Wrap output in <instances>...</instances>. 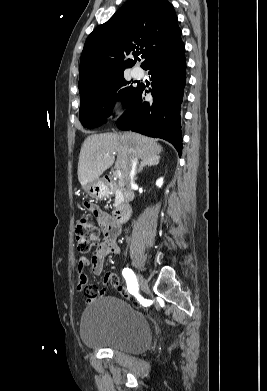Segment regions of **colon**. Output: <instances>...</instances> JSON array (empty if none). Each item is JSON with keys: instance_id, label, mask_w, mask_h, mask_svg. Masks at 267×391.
<instances>
[{"instance_id": "colon-1", "label": "colon", "mask_w": 267, "mask_h": 391, "mask_svg": "<svg viewBox=\"0 0 267 391\" xmlns=\"http://www.w3.org/2000/svg\"><path fill=\"white\" fill-rule=\"evenodd\" d=\"M75 236L77 250L81 255H92L102 244L100 229L87 216L79 218L75 226ZM110 283L124 297H129L125 286L119 282L116 276L110 279Z\"/></svg>"}]
</instances>
